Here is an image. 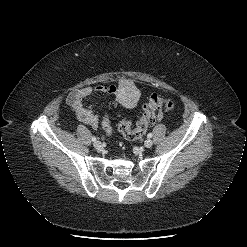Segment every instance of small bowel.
I'll list each match as a JSON object with an SVG mask.
<instances>
[{
  "instance_id": "1",
  "label": "small bowel",
  "mask_w": 247,
  "mask_h": 247,
  "mask_svg": "<svg viewBox=\"0 0 247 247\" xmlns=\"http://www.w3.org/2000/svg\"><path fill=\"white\" fill-rule=\"evenodd\" d=\"M117 86L111 84L108 86H99L97 88L86 87L72 91L67 97V104L73 110L78 120L97 128L99 125V116L93 110L85 105V100L95 94L117 95ZM161 115H159V118Z\"/></svg>"
}]
</instances>
